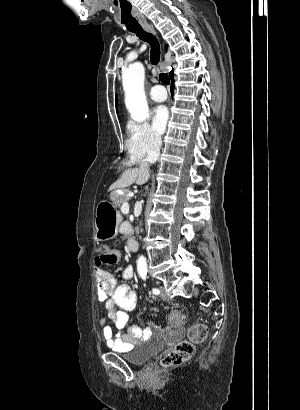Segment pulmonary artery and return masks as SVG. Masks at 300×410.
Returning a JSON list of instances; mask_svg holds the SVG:
<instances>
[{"label":"pulmonary artery","instance_id":"obj_1","mask_svg":"<svg viewBox=\"0 0 300 410\" xmlns=\"http://www.w3.org/2000/svg\"><path fill=\"white\" fill-rule=\"evenodd\" d=\"M150 98L155 102H162L167 99V92L161 85H155L150 89Z\"/></svg>","mask_w":300,"mask_h":410}]
</instances>
